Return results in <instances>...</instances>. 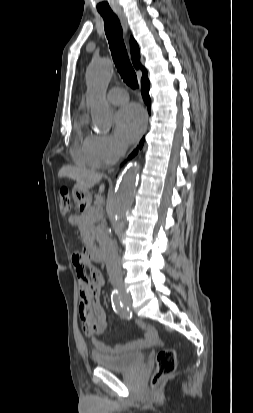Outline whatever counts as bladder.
<instances>
[{"mask_svg": "<svg viewBox=\"0 0 253 413\" xmlns=\"http://www.w3.org/2000/svg\"><path fill=\"white\" fill-rule=\"evenodd\" d=\"M93 360L102 368L123 372L141 366L145 361V354L142 352H128L118 355H96Z\"/></svg>", "mask_w": 253, "mask_h": 413, "instance_id": "1", "label": "bladder"}]
</instances>
